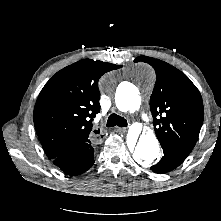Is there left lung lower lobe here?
Masks as SVG:
<instances>
[{"label":"left lung lower lobe","mask_w":221,"mask_h":221,"mask_svg":"<svg viewBox=\"0 0 221 221\" xmlns=\"http://www.w3.org/2000/svg\"><path fill=\"white\" fill-rule=\"evenodd\" d=\"M164 156L151 170L157 174L169 172L178 167L189 155L190 152L168 145H162Z\"/></svg>","instance_id":"left-lung-lower-lobe-1"}]
</instances>
